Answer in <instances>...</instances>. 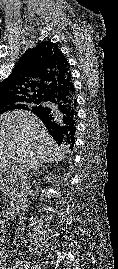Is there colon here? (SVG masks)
Masks as SVG:
<instances>
[{
  "label": "colon",
  "mask_w": 118,
  "mask_h": 269,
  "mask_svg": "<svg viewBox=\"0 0 118 269\" xmlns=\"http://www.w3.org/2000/svg\"><path fill=\"white\" fill-rule=\"evenodd\" d=\"M2 210V203L0 202V211Z\"/></svg>",
  "instance_id": "colon-1"
}]
</instances>
